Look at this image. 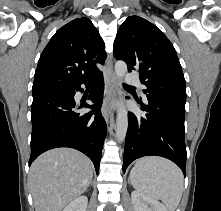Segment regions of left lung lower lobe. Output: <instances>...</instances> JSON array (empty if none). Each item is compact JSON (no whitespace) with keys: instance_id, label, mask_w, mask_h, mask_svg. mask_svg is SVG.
Masks as SVG:
<instances>
[{"instance_id":"1","label":"left lung lower lobe","mask_w":221,"mask_h":211,"mask_svg":"<svg viewBox=\"0 0 221 211\" xmlns=\"http://www.w3.org/2000/svg\"><path fill=\"white\" fill-rule=\"evenodd\" d=\"M185 101L165 96L138 101L146 114L128 113L123 172L135 159L156 155L170 159L186 175Z\"/></svg>"}]
</instances>
